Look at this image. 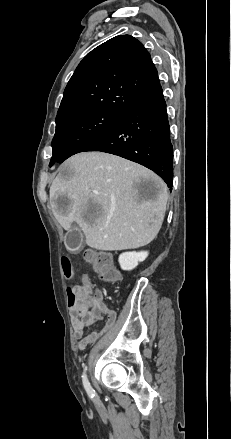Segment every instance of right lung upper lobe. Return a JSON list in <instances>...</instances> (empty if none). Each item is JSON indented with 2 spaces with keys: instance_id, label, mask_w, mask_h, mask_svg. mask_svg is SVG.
Listing matches in <instances>:
<instances>
[{
  "instance_id": "obj_1",
  "label": "right lung upper lobe",
  "mask_w": 231,
  "mask_h": 439,
  "mask_svg": "<svg viewBox=\"0 0 231 439\" xmlns=\"http://www.w3.org/2000/svg\"><path fill=\"white\" fill-rule=\"evenodd\" d=\"M160 92L148 51L134 37L120 35L80 62L65 88L56 118L93 109L124 114Z\"/></svg>"
}]
</instances>
